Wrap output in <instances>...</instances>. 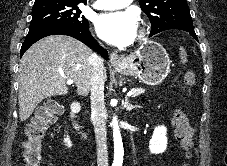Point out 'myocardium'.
I'll return each mask as SVG.
<instances>
[{"label":"myocardium","instance_id":"f54148a6","mask_svg":"<svg viewBox=\"0 0 227 166\" xmlns=\"http://www.w3.org/2000/svg\"><path fill=\"white\" fill-rule=\"evenodd\" d=\"M146 31L145 29H141L140 32L138 33V39L142 40L145 37Z\"/></svg>","mask_w":227,"mask_h":166}]
</instances>
